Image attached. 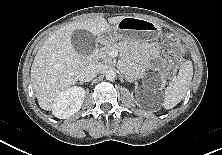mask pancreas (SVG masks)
<instances>
[{
	"label": "pancreas",
	"instance_id": "1",
	"mask_svg": "<svg viewBox=\"0 0 222 155\" xmlns=\"http://www.w3.org/2000/svg\"><path fill=\"white\" fill-rule=\"evenodd\" d=\"M118 49H119L118 45H111L102 48L100 50H97L94 56L95 58L102 59V62L105 64H112V58L110 56V52ZM128 62H129V68L127 71L128 76L130 77L136 76L138 73L142 71V68L137 64L131 62L130 60H128Z\"/></svg>",
	"mask_w": 222,
	"mask_h": 155
}]
</instances>
